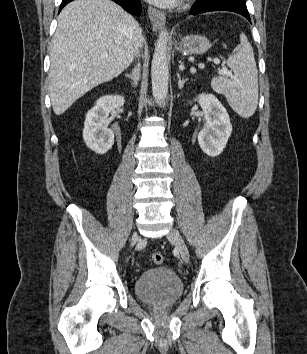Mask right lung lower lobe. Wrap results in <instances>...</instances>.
<instances>
[{
  "mask_svg": "<svg viewBox=\"0 0 307 354\" xmlns=\"http://www.w3.org/2000/svg\"><path fill=\"white\" fill-rule=\"evenodd\" d=\"M73 0H62L60 10ZM122 6L126 11L139 16L141 14V4L139 0H113Z\"/></svg>",
  "mask_w": 307,
  "mask_h": 354,
  "instance_id": "98d812e1",
  "label": "right lung lower lobe"
}]
</instances>
